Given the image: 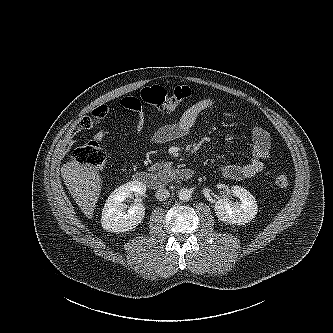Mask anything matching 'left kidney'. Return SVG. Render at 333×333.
<instances>
[{
  "label": "left kidney",
  "mask_w": 333,
  "mask_h": 333,
  "mask_svg": "<svg viewBox=\"0 0 333 333\" xmlns=\"http://www.w3.org/2000/svg\"><path fill=\"white\" fill-rule=\"evenodd\" d=\"M232 193L241 203L220 199L215 203L214 211L219 220L228 224L244 225L255 218L258 207L254 196L240 186H233Z\"/></svg>",
  "instance_id": "5707ae66"
}]
</instances>
